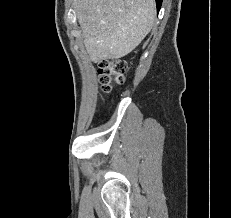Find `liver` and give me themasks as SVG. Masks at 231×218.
Here are the masks:
<instances>
[{"label": "liver", "mask_w": 231, "mask_h": 218, "mask_svg": "<svg viewBox=\"0 0 231 218\" xmlns=\"http://www.w3.org/2000/svg\"><path fill=\"white\" fill-rule=\"evenodd\" d=\"M84 45L92 61L118 59L151 31L154 0H74Z\"/></svg>", "instance_id": "obj_1"}]
</instances>
